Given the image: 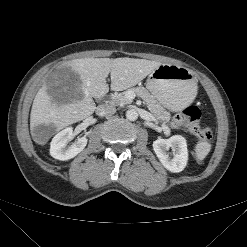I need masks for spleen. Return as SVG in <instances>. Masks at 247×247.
Wrapping results in <instances>:
<instances>
[{
    "label": "spleen",
    "mask_w": 247,
    "mask_h": 247,
    "mask_svg": "<svg viewBox=\"0 0 247 247\" xmlns=\"http://www.w3.org/2000/svg\"><path fill=\"white\" fill-rule=\"evenodd\" d=\"M210 150H211L210 142L206 140L199 141L195 146L196 159L199 161L203 160L209 154Z\"/></svg>",
    "instance_id": "spleen-1"
}]
</instances>
